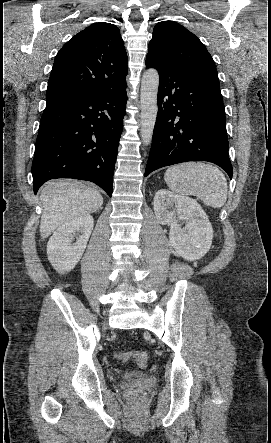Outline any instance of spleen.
<instances>
[{"mask_svg":"<svg viewBox=\"0 0 271 443\" xmlns=\"http://www.w3.org/2000/svg\"><path fill=\"white\" fill-rule=\"evenodd\" d=\"M164 180L179 196H196L211 208H222L227 200V180L221 170L202 164V162H185L168 168Z\"/></svg>","mask_w":271,"mask_h":443,"instance_id":"spleen-1","label":"spleen"}]
</instances>
